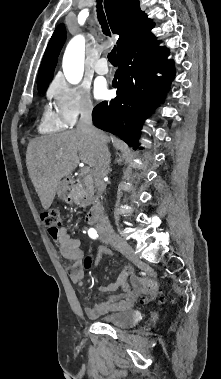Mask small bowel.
<instances>
[{"instance_id": "obj_1", "label": "small bowel", "mask_w": 221, "mask_h": 379, "mask_svg": "<svg viewBox=\"0 0 221 379\" xmlns=\"http://www.w3.org/2000/svg\"><path fill=\"white\" fill-rule=\"evenodd\" d=\"M51 237L58 244L61 255L72 261L67 266V273L71 282L83 290L85 272L93 271L94 266H97L102 254L107 253V250L100 248L96 254L88 253L87 260L84 262V252L80 247V239L71 237L67 227L58 228L56 234L51 235ZM119 288L121 292L115 293ZM98 289L109 294L104 300L85 307V313L89 317H96L111 311L131 309L148 293L146 280L135 276L128 268L122 270L114 283L99 286Z\"/></svg>"}]
</instances>
